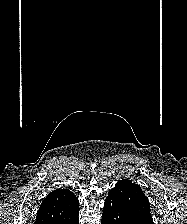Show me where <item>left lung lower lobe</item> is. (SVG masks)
I'll list each match as a JSON object with an SVG mask.
<instances>
[{
    "instance_id": "1",
    "label": "left lung lower lobe",
    "mask_w": 187,
    "mask_h": 224,
    "mask_svg": "<svg viewBox=\"0 0 187 224\" xmlns=\"http://www.w3.org/2000/svg\"><path fill=\"white\" fill-rule=\"evenodd\" d=\"M101 224H153L132 214L114 192H109L104 203Z\"/></svg>"
}]
</instances>
